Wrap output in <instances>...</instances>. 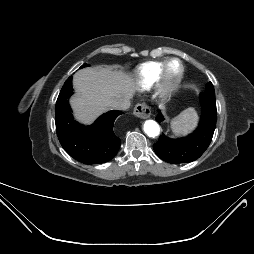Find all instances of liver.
I'll list each match as a JSON object with an SVG mask.
<instances>
[{
    "mask_svg": "<svg viewBox=\"0 0 254 254\" xmlns=\"http://www.w3.org/2000/svg\"><path fill=\"white\" fill-rule=\"evenodd\" d=\"M76 95L71 99L74 116L89 124L100 114L112 109L116 101L130 99L137 85L131 77L108 68H85L73 78Z\"/></svg>",
    "mask_w": 254,
    "mask_h": 254,
    "instance_id": "liver-1",
    "label": "liver"
}]
</instances>
